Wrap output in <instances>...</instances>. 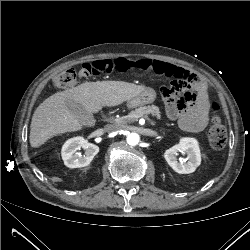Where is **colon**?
<instances>
[{"label":"colon","mask_w":250,"mask_h":250,"mask_svg":"<svg viewBox=\"0 0 250 250\" xmlns=\"http://www.w3.org/2000/svg\"><path fill=\"white\" fill-rule=\"evenodd\" d=\"M132 65L133 63L123 58H119L116 60H98L86 63L83 66V74L87 76H100L112 73H123L129 70ZM76 81L77 72L75 68H67L53 78L54 86L61 89L73 87ZM184 81H187L189 83H196L199 81V78L196 74L192 72H187L183 80L179 77H176L173 81L171 91L174 92L175 90H183L181 89V86ZM183 99L187 102L193 103L197 99V93L192 90H186L183 94ZM211 110L212 123L208 131V140L213 148L222 149L227 142V131L222 125L218 116L219 107L216 103L212 104Z\"/></svg>","instance_id":"5ec220e1"}]
</instances>
